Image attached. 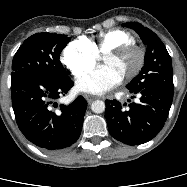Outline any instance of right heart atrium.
Listing matches in <instances>:
<instances>
[{"label": "right heart atrium", "instance_id": "1", "mask_svg": "<svg viewBox=\"0 0 187 187\" xmlns=\"http://www.w3.org/2000/svg\"><path fill=\"white\" fill-rule=\"evenodd\" d=\"M97 58L91 44L83 38L70 42L63 51V62L75 77L92 68Z\"/></svg>", "mask_w": 187, "mask_h": 187}]
</instances>
